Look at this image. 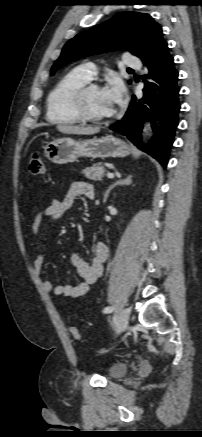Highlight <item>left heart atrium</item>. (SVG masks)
<instances>
[{"mask_svg":"<svg viewBox=\"0 0 202 437\" xmlns=\"http://www.w3.org/2000/svg\"><path fill=\"white\" fill-rule=\"evenodd\" d=\"M104 92L114 107L119 106L125 96V87L120 80L113 79L104 88Z\"/></svg>","mask_w":202,"mask_h":437,"instance_id":"left-heart-atrium-1","label":"left heart atrium"}]
</instances>
